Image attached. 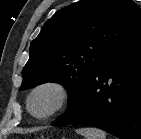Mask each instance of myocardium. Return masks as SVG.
<instances>
[{"instance_id":"1","label":"myocardium","mask_w":141,"mask_h":139,"mask_svg":"<svg viewBox=\"0 0 141 139\" xmlns=\"http://www.w3.org/2000/svg\"><path fill=\"white\" fill-rule=\"evenodd\" d=\"M52 90L55 92L57 98L54 106L45 114L38 115L32 109V101L34 96L42 91V90ZM71 99V91L70 88L62 81L56 79H47L43 80L36 85H34L29 91L26 98V108L28 113L37 120H48L55 115H57L60 111H62L70 102Z\"/></svg>"}]
</instances>
